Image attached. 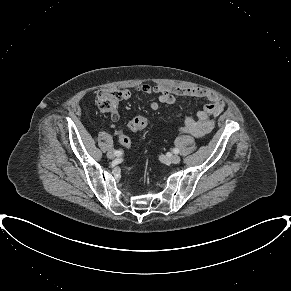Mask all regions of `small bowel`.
<instances>
[{"mask_svg":"<svg viewBox=\"0 0 291 291\" xmlns=\"http://www.w3.org/2000/svg\"><path fill=\"white\" fill-rule=\"evenodd\" d=\"M134 92L157 94L158 101H152L150 103V108L153 111L159 108V103L173 104L178 96L207 99L209 102L197 113L196 117L188 116L185 119L184 126L178 129L179 133H188L196 138L205 136L213 129L214 122L211 117L218 116L225 108L223 100L217 94L203 88L142 84L133 89L123 90L122 99H129ZM107 114L112 121L116 122L119 120L120 116L116 107L107 111Z\"/></svg>","mask_w":291,"mask_h":291,"instance_id":"1","label":"small bowel"}]
</instances>
